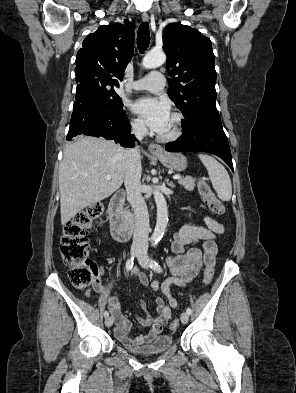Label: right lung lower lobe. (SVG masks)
Masks as SVG:
<instances>
[{
  "label": "right lung lower lobe",
  "mask_w": 296,
  "mask_h": 393,
  "mask_svg": "<svg viewBox=\"0 0 296 393\" xmlns=\"http://www.w3.org/2000/svg\"><path fill=\"white\" fill-rule=\"evenodd\" d=\"M73 108L67 140L84 134L114 140L125 147L134 145L125 111H113L88 88L77 86Z\"/></svg>",
  "instance_id": "right-lung-lower-lobe-1"
}]
</instances>
